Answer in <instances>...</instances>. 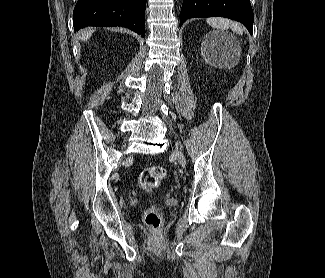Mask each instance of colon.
Instances as JSON below:
<instances>
[{
	"instance_id": "colon-1",
	"label": "colon",
	"mask_w": 325,
	"mask_h": 278,
	"mask_svg": "<svg viewBox=\"0 0 325 278\" xmlns=\"http://www.w3.org/2000/svg\"><path fill=\"white\" fill-rule=\"evenodd\" d=\"M167 176L166 168L162 166H152L145 168L140 174V184L145 189L154 188L161 180ZM146 226L153 232H157L161 227V215L155 207L149 208L144 215Z\"/></svg>"
}]
</instances>
